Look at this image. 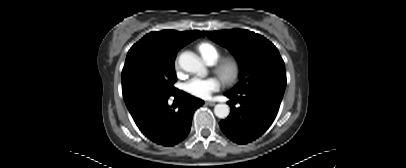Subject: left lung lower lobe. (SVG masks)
Instances as JSON below:
<instances>
[{
  "instance_id": "1",
  "label": "left lung lower lobe",
  "mask_w": 406,
  "mask_h": 168,
  "mask_svg": "<svg viewBox=\"0 0 406 168\" xmlns=\"http://www.w3.org/2000/svg\"><path fill=\"white\" fill-rule=\"evenodd\" d=\"M284 93L255 90L244 94L225 95L230 98V115L222 120L223 133L238 144H246L260 137L274 121ZM239 103V107L235 104Z\"/></svg>"
}]
</instances>
